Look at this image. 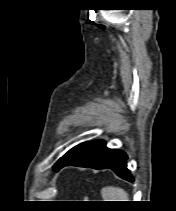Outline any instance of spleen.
Returning a JSON list of instances; mask_svg holds the SVG:
<instances>
[{"instance_id": "3e777b00", "label": "spleen", "mask_w": 176, "mask_h": 211, "mask_svg": "<svg viewBox=\"0 0 176 211\" xmlns=\"http://www.w3.org/2000/svg\"><path fill=\"white\" fill-rule=\"evenodd\" d=\"M101 195L103 201H129L128 193L120 187H103L101 189Z\"/></svg>"}]
</instances>
